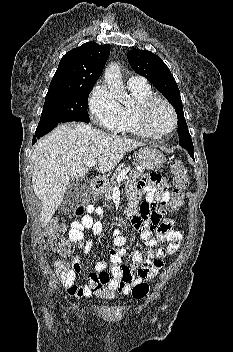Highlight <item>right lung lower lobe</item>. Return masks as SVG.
Returning a JSON list of instances; mask_svg holds the SVG:
<instances>
[{
	"mask_svg": "<svg viewBox=\"0 0 233 352\" xmlns=\"http://www.w3.org/2000/svg\"><path fill=\"white\" fill-rule=\"evenodd\" d=\"M78 121H80V120H78ZM83 122H85V121H83ZM86 123H89V122H86ZM57 125L51 126L49 128H46V129H43V130H40V131H36L35 135L33 136L32 144H34L37 141V139H39L40 137H42L45 134L49 133L51 130H53Z\"/></svg>",
	"mask_w": 233,
	"mask_h": 352,
	"instance_id": "obj_1",
	"label": "right lung lower lobe"
}]
</instances>
